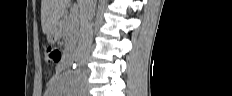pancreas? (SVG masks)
<instances>
[{
	"label": "pancreas",
	"mask_w": 232,
	"mask_h": 96,
	"mask_svg": "<svg viewBox=\"0 0 232 96\" xmlns=\"http://www.w3.org/2000/svg\"><path fill=\"white\" fill-rule=\"evenodd\" d=\"M61 36L64 38L65 52H71L75 49L79 37V21L78 18H72L65 15L61 24Z\"/></svg>",
	"instance_id": "1"
}]
</instances>
